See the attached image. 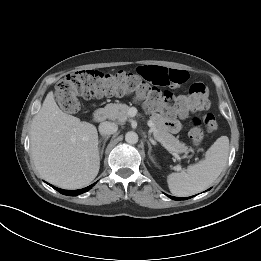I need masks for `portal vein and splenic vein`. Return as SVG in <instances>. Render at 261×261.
<instances>
[{"label":"portal vein and splenic vein","mask_w":261,"mask_h":261,"mask_svg":"<svg viewBox=\"0 0 261 261\" xmlns=\"http://www.w3.org/2000/svg\"><path fill=\"white\" fill-rule=\"evenodd\" d=\"M136 113H137V112H136V109H135V108H130L129 115H130L131 117H134V116L136 115ZM147 125H148L149 127H151V131H152V132H155V126H154V123H153L151 120H149V121L147 122ZM159 142L162 144L163 147H165L168 151H170V152L175 156V158H177L178 160L181 159L180 156H179L178 151H177L174 147H171L170 145L166 144L165 142H163V141H161V140H159ZM179 169H180V168H179Z\"/></svg>","instance_id":"portal-vein-and-splenic-vein-1"}]
</instances>
